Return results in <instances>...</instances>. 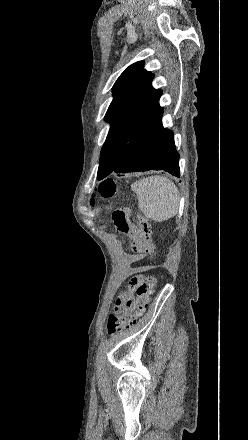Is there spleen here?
I'll use <instances>...</instances> for the list:
<instances>
[{
  "label": "spleen",
  "mask_w": 248,
  "mask_h": 440,
  "mask_svg": "<svg viewBox=\"0 0 248 440\" xmlns=\"http://www.w3.org/2000/svg\"><path fill=\"white\" fill-rule=\"evenodd\" d=\"M138 207L147 219L163 222L174 217L179 208V191L168 178L151 176L132 184Z\"/></svg>",
  "instance_id": "spleen-1"
}]
</instances>
